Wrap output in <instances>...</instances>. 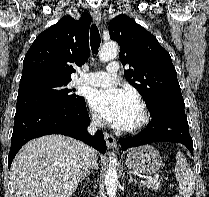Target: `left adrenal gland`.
Returning a JSON list of instances; mask_svg holds the SVG:
<instances>
[{
  "instance_id": "obj_1",
  "label": "left adrenal gland",
  "mask_w": 209,
  "mask_h": 197,
  "mask_svg": "<svg viewBox=\"0 0 209 197\" xmlns=\"http://www.w3.org/2000/svg\"><path fill=\"white\" fill-rule=\"evenodd\" d=\"M129 177H130L129 182H133V181H135V179H133V176H132V174H131V173H129Z\"/></svg>"
}]
</instances>
